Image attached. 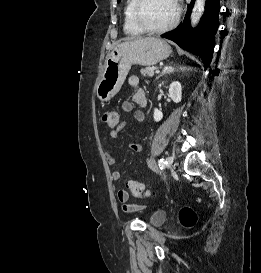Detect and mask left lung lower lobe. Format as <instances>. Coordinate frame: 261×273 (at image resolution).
Masks as SVG:
<instances>
[{"label":"left lung lower lobe","mask_w":261,"mask_h":273,"mask_svg":"<svg viewBox=\"0 0 261 273\" xmlns=\"http://www.w3.org/2000/svg\"><path fill=\"white\" fill-rule=\"evenodd\" d=\"M193 8V2L188 5L184 21L178 28L167 32L161 37L174 41L182 49L198 55L207 68L212 60L215 46L214 35L219 25V0H206L205 11L200 24L196 29L190 27L189 17Z\"/></svg>","instance_id":"left-lung-lower-lobe-1"}]
</instances>
